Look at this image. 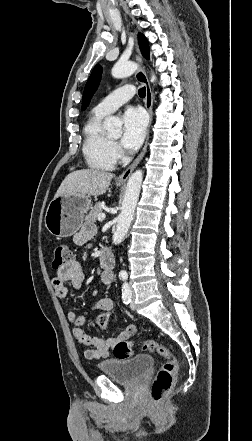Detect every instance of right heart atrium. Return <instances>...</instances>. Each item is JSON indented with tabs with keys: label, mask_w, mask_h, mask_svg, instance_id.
<instances>
[{
	"label": "right heart atrium",
	"mask_w": 252,
	"mask_h": 441,
	"mask_svg": "<svg viewBox=\"0 0 252 441\" xmlns=\"http://www.w3.org/2000/svg\"><path fill=\"white\" fill-rule=\"evenodd\" d=\"M113 150H114V153H115L116 157H120L121 156V150H120V148L116 144L113 145Z\"/></svg>",
	"instance_id": "obj_1"
}]
</instances>
